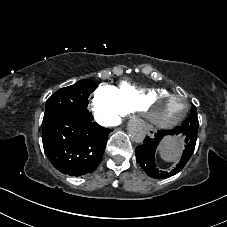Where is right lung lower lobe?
I'll use <instances>...</instances> for the list:
<instances>
[{
  "label": "right lung lower lobe",
  "instance_id": "obj_1",
  "mask_svg": "<svg viewBox=\"0 0 227 227\" xmlns=\"http://www.w3.org/2000/svg\"><path fill=\"white\" fill-rule=\"evenodd\" d=\"M93 120L87 111L63 114L42 122L43 148L56 169L70 176H80L98 167L113 129L103 128Z\"/></svg>",
  "mask_w": 227,
  "mask_h": 227
}]
</instances>
